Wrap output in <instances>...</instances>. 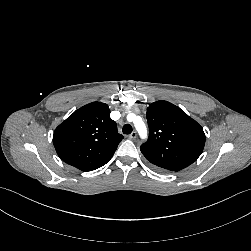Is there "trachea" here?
<instances>
[{"label":"trachea","instance_id":"trachea-1","mask_svg":"<svg viewBox=\"0 0 251 251\" xmlns=\"http://www.w3.org/2000/svg\"><path fill=\"white\" fill-rule=\"evenodd\" d=\"M122 131L124 134H130L132 132V126L130 124H125Z\"/></svg>","mask_w":251,"mask_h":251}]
</instances>
